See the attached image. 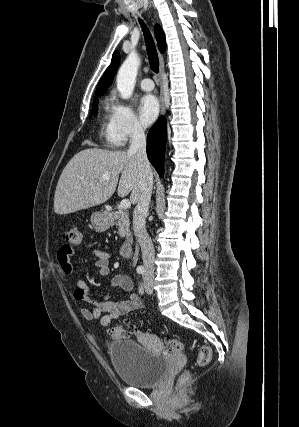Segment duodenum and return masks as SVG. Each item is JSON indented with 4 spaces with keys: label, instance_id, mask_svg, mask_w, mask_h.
<instances>
[{
    "label": "duodenum",
    "instance_id": "410a0bca",
    "mask_svg": "<svg viewBox=\"0 0 299 427\" xmlns=\"http://www.w3.org/2000/svg\"><path fill=\"white\" fill-rule=\"evenodd\" d=\"M107 215L109 216V218H113L115 216L113 212H108ZM133 250H134L133 242L131 240H127L121 246L120 255L123 258H130L133 254Z\"/></svg>",
    "mask_w": 299,
    "mask_h": 427
}]
</instances>
